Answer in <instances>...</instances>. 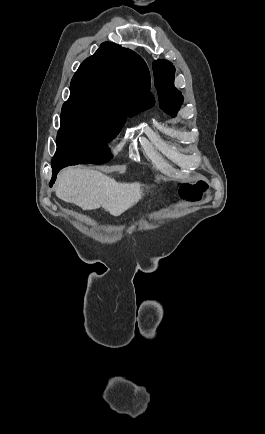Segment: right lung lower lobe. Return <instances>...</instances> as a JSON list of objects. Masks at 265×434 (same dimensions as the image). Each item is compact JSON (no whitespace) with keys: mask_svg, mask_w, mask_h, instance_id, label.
Here are the masks:
<instances>
[{"mask_svg":"<svg viewBox=\"0 0 265 434\" xmlns=\"http://www.w3.org/2000/svg\"><path fill=\"white\" fill-rule=\"evenodd\" d=\"M64 167H65V166H61V167H53V168H52L53 175H52V179H51V181H50V186H52L53 183L55 182V179H56V175H57V173H58L62 168H64Z\"/></svg>","mask_w":265,"mask_h":434,"instance_id":"obj_1","label":"right lung lower lobe"}]
</instances>
